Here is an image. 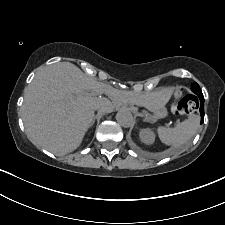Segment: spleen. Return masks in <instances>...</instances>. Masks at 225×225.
<instances>
[{"mask_svg":"<svg viewBox=\"0 0 225 225\" xmlns=\"http://www.w3.org/2000/svg\"><path fill=\"white\" fill-rule=\"evenodd\" d=\"M199 126V117L192 115L174 128L160 126L157 128L162 143L172 147L183 145L196 133Z\"/></svg>","mask_w":225,"mask_h":225,"instance_id":"1","label":"spleen"}]
</instances>
